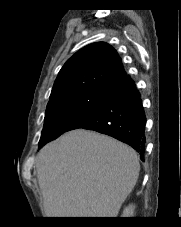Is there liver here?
<instances>
[{
    "label": "liver",
    "mask_w": 181,
    "mask_h": 227,
    "mask_svg": "<svg viewBox=\"0 0 181 227\" xmlns=\"http://www.w3.org/2000/svg\"><path fill=\"white\" fill-rule=\"evenodd\" d=\"M36 166L47 217H117L140 171L135 150L84 129L45 145Z\"/></svg>",
    "instance_id": "6515ba94"
}]
</instances>
